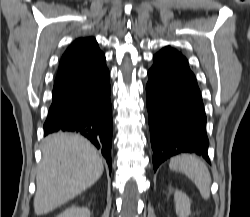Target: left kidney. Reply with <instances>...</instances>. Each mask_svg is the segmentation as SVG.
<instances>
[{"label": "left kidney", "instance_id": "left-kidney-1", "mask_svg": "<svg viewBox=\"0 0 250 217\" xmlns=\"http://www.w3.org/2000/svg\"><path fill=\"white\" fill-rule=\"evenodd\" d=\"M176 213L179 217H188L191 213L190 211V199L182 191H176L174 194Z\"/></svg>", "mask_w": 250, "mask_h": 217}]
</instances>
